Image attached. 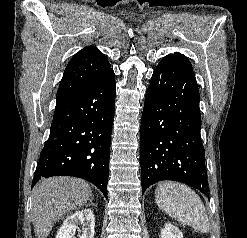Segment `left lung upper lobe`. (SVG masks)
Masks as SVG:
<instances>
[{
  "mask_svg": "<svg viewBox=\"0 0 247 238\" xmlns=\"http://www.w3.org/2000/svg\"><path fill=\"white\" fill-rule=\"evenodd\" d=\"M164 58H174V59H176V60H179V61L183 62L184 64H186V65L189 66L190 68H192V67H191V64H190V62H189V60H188L184 55H182V54H180V53L169 54V55H167V56L164 57Z\"/></svg>",
  "mask_w": 247,
  "mask_h": 238,
  "instance_id": "1",
  "label": "left lung upper lobe"
}]
</instances>
